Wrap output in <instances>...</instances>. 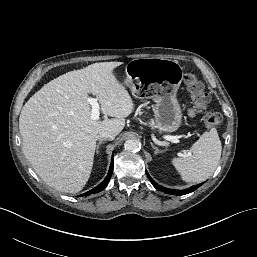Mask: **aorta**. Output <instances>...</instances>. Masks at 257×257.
I'll return each instance as SVG.
<instances>
[{
	"instance_id": "aorta-1",
	"label": "aorta",
	"mask_w": 257,
	"mask_h": 257,
	"mask_svg": "<svg viewBox=\"0 0 257 257\" xmlns=\"http://www.w3.org/2000/svg\"><path fill=\"white\" fill-rule=\"evenodd\" d=\"M141 144L138 140L129 139L124 143L125 150L129 152H137L140 150Z\"/></svg>"
}]
</instances>
